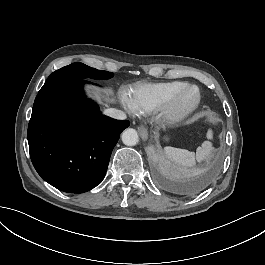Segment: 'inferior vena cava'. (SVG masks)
Masks as SVG:
<instances>
[{
    "label": "inferior vena cava",
    "instance_id": "obj_1",
    "mask_svg": "<svg viewBox=\"0 0 265 265\" xmlns=\"http://www.w3.org/2000/svg\"><path fill=\"white\" fill-rule=\"evenodd\" d=\"M105 114L118 120H125L127 118L124 112L117 110L115 108L106 109Z\"/></svg>",
    "mask_w": 265,
    "mask_h": 265
}]
</instances>
